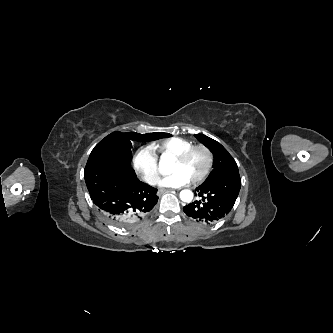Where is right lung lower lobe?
I'll use <instances>...</instances> for the list:
<instances>
[{
  "instance_id": "98d812e1",
  "label": "right lung lower lobe",
  "mask_w": 333,
  "mask_h": 333,
  "mask_svg": "<svg viewBox=\"0 0 333 333\" xmlns=\"http://www.w3.org/2000/svg\"><path fill=\"white\" fill-rule=\"evenodd\" d=\"M84 178L94 204L119 228L137 223L158 200L157 189L141 182L130 165L118 161L89 160Z\"/></svg>"
}]
</instances>
